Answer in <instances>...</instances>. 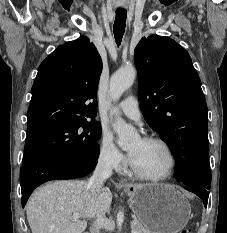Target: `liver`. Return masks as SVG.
I'll return each mask as SVG.
<instances>
[{"instance_id":"liver-1","label":"liver","mask_w":227,"mask_h":233,"mask_svg":"<svg viewBox=\"0 0 227 233\" xmlns=\"http://www.w3.org/2000/svg\"><path fill=\"white\" fill-rule=\"evenodd\" d=\"M112 194L108 187L93 193L87 181H54L37 189L26 205L32 233H82L87 218H103ZM79 219L73 220V214Z\"/></svg>"}]
</instances>
